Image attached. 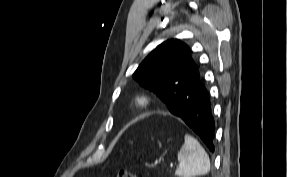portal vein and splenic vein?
<instances>
[{
	"label": "portal vein and splenic vein",
	"instance_id": "18ae733b",
	"mask_svg": "<svg viewBox=\"0 0 287 177\" xmlns=\"http://www.w3.org/2000/svg\"><path fill=\"white\" fill-rule=\"evenodd\" d=\"M174 167V165L173 164H170V168H173Z\"/></svg>",
	"mask_w": 287,
	"mask_h": 177
}]
</instances>
